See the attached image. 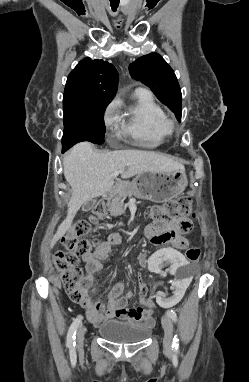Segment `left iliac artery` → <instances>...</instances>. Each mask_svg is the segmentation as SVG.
<instances>
[{"label": "left iliac artery", "instance_id": "44dca946", "mask_svg": "<svg viewBox=\"0 0 249 382\" xmlns=\"http://www.w3.org/2000/svg\"><path fill=\"white\" fill-rule=\"evenodd\" d=\"M166 315L172 319V321L176 322L177 321V315L176 313L173 311V310H169L166 312ZM172 348L174 350H178L179 349V339L177 338V336L175 335V337L173 338V344H172Z\"/></svg>", "mask_w": 249, "mask_h": 382}]
</instances>
